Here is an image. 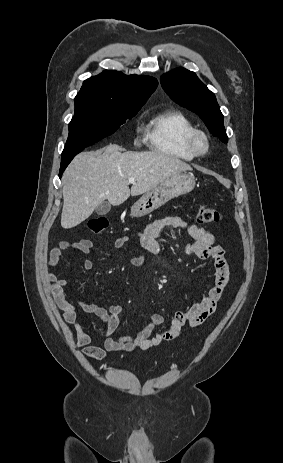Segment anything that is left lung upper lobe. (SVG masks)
<instances>
[{
    "instance_id": "1",
    "label": "left lung upper lobe",
    "mask_w": 283,
    "mask_h": 463,
    "mask_svg": "<svg viewBox=\"0 0 283 463\" xmlns=\"http://www.w3.org/2000/svg\"><path fill=\"white\" fill-rule=\"evenodd\" d=\"M161 84L171 99L199 115L213 136L227 143L223 115L216 97L194 72L174 69L161 76Z\"/></svg>"
}]
</instances>
